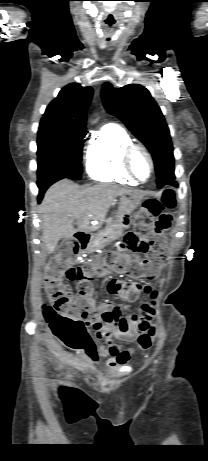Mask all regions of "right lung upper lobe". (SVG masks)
Masks as SVG:
<instances>
[{
  "mask_svg": "<svg viewBox=\"0 0 208 461\" xmlns=\"http://www.w3.org/2000/svg\"><path fill=\"white\" fill-rule=\"evenodd\" d=\"M92 94L91 87H82L77 83L68 84L46 108L41 123L86 133V111Z\"/></svg>",
  "mask_w": 208,
  "mask_h": 461,
  "instance_id": "1",
  "label": "right lung upper lobe"
}]
</instances>
